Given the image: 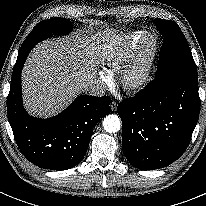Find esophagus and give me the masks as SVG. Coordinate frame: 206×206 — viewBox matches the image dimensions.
Returning a JSON list of instances; mask_svg holds the SVG:
<instances>
[{
    "label": "esophagus",
    "instance_id": "34e87169",
    "mask_svg": "<svg viewBox=\"0 0 206 206\" xmlns=\"http://www.w3.org/2000/svg\"><path fill=\"white\" fill-rule=\"evenodd\" d=\"M117 106H118V103L113 101L111 104H110V108L112 111H116L117 110Z\"/></svg>",
    "mask_w": 206,
    "mask_h": 206
}]
</instances>
